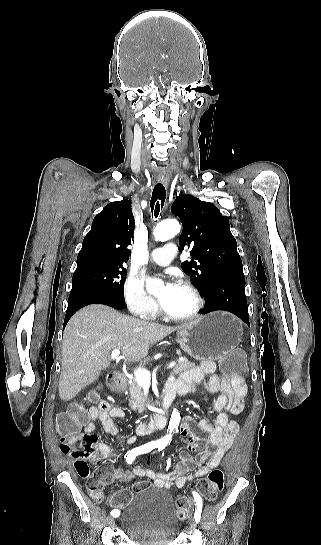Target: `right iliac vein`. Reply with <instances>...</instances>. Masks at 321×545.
<instances>
[{
	"mask_svg": "<svg viewBox=\"0 0 321 545\" xmlns=\"http://www.w3.org/2000/svg\"><path fill=\"white\" fill-rule=\"evenodd\" d=\"M107 524H108L109 526H113V525H114V518H113V517H108V519H107Z\"/></svg>",
	"mask_w": 321,
	"mask_h": 545,
	"instance_id": "1",
	"label": "right iliac vein"
}]
</instances>
